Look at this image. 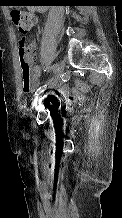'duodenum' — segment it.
<instances>
[{
  "label": "duodenum",
  "mask_w": 122,
  "mask_h": 218,
  "mask_svg": "<svg viewBox=\"0 0 122 218\" xmlns=\"http://www.w3.org/2000/svg\"><path fill=\"white\" fill-rule=\"evenodd\" d=\"M35 10L39 11L41 8H34Z\"/></svg>",
  "instance_id": "1"
}]
</instances>
